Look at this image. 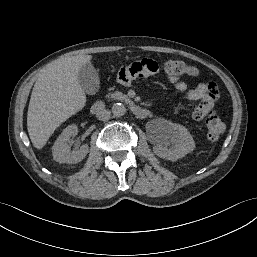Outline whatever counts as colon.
Returning <instances> with one entry per match:
<instances>
[{
	"mask_svg": "<svg viewBox=\"0 0 257 257\" xmlns=\"http://www.w3.org/2000/svg\"><path fill=\"white\" fill-rule=\"evenodd\" d=\"M162 71L166 76L170 74H177L182 76H194L197 74V70L188 65L182 60L171 59L162 63ZM207 136L210 140H217L225 130V125L221 118L212 113L208 116L206 121Z\"/></svg>",
	"mask_w": 257,
	"mask_h": 257,
	"instance_id": "obj_1",
	"label": "colon"
}]
</instances>
